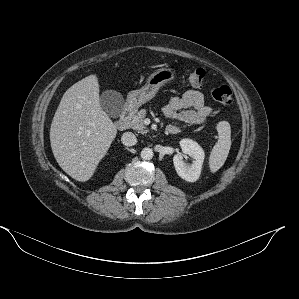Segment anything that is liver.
Listing matches in <instances>:
<instances>
[{
  "label": "liver",
  "instance_id": "6515ba94",
  "mask_svg": "<svg viewBox=\"0 0 299 299\" xmlns=\"http://www.w3.org/2000/svg\"><path fill=\"white\" fill-rule=\"evenodd\" d=\"M116 134V126L100 105L98 78L90 75L64 93L51 124L50 143L63 171L86 182Z\"/></svg>",
  "mask_w": 299,
  "mask_h": 299
}]
</instances>
